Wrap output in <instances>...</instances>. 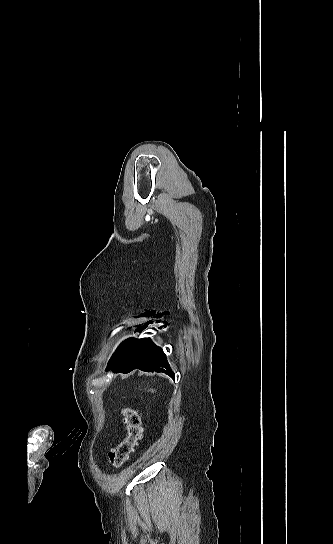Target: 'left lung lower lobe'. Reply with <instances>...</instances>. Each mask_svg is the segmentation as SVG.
I'll use <instances>...</instances> for the list:
<instances>
[{
    "label": "left lung lower lobe",
    "mask_w": 333,
    "mask_h": 544,
    "mask_svg": "<svg viewBox=\"0 0 333 544\" xmlns=\"http://www.w3.org/2000/svg\"><path fill=\"white\" fill-rule=\"evenodd\" d=\"M133 369L164 372L174 377V374L169 370L163 350L155 346L149 339L131 346L123 344L109 361L106 370H112L115 373H128Z\"/></svg>",
    "instance_id": "1"
}]
</instances>
